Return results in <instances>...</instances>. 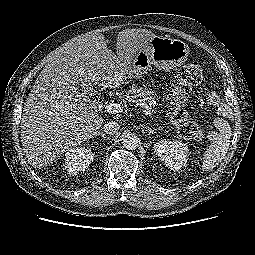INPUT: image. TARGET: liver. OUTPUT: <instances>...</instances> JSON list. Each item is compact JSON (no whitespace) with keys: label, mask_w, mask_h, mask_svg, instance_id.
Wrapping results in <instances>:
<instances>
[{"label":"liver","mask_w":255,"mask_h":255,"mask_svg":"<svg viewBox=\"0 0 255 255\" xmlns=\"http://www.w3.org/2000/svg\"><path fill=\"white\" fill-rule=\"evenodd\" d=\"M154 36L146 29L120 31L117 55L101 33L79 35L55 51L32 86L21 119V143L33 167H43L98 133L103 119L80 83L114 84Z\"/></svg>","instance_id":"6515ba94"}]
</instances>
